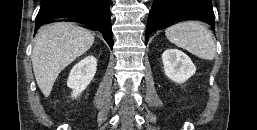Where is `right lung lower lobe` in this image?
<instances>
[{
    "label": "right lung lower lobe",
    "mask_w": 257,
    "mask_h": 130,
    "mask_svg": "<svg viewBox=\"0 0 257 130\" xmlns=\"http://www.w3.org/2000/svg\"><path fill=\"white\" fill-rule=\"evenodd\" d=\"M69 21L99 31L113 47L110 19V0H43L35 21V29L44 24Z\"/></svg>",
    "instance_id": "right-lung-lower-lobe-1"
}]
</instances>
